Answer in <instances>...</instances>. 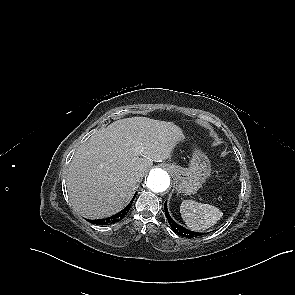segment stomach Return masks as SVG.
<instances>
[{
	"label": "stomach",
	"instance_id": "stomach-1",
	"mask_svg": "<svg viewBox=\"0 0 295 295\" xmlns=\"http://www.w3.org/2000/svg\"><path fill=\"white\" fill-rule=\"evenodd\" d=\"M169 168L174 177L177 192L187 195L196 193L211 173L210 161L200 150L193 152L188 168L174 164Z\"/></svg>",
	"mask_w": 295,
	"mask_h": 295
}]
</instances>
